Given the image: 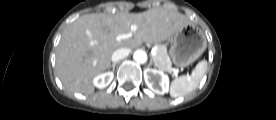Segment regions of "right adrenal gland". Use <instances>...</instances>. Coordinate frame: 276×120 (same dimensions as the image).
Wrapping results in <instances>:
<instances>
[{
	"label": "right adrenal gland",
	"mask_w": 276,
	"mask_h": 120,
	"mask_svg": "<svg viewBox=\"0 0 276 120\" xmlns=\"http://www.w3.org/2000/svg\"><path fill=\"white\" fill-rule=\"evenodd\" d=\"M116 64H117V62H115V63L112 64L113 71L115 70Z\"/></svg>",
	"instance_id": "obj_1"
}]
</instances>
